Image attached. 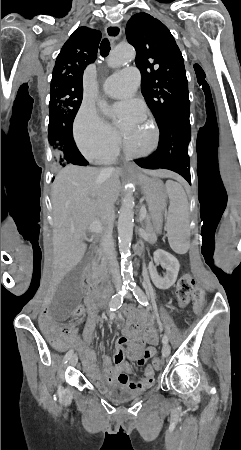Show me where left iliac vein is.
I'll use <instances>...</instances> for the list:
<instances>
[{
  "mask_svg": "<svg viewBox=\"0 0 241 450\" xmlns=\"http://www.w3.org/2000/svg\"><path fill=\"white\" fill-rule=\"evenodd\" d=\"M127 298H131V294L127 295ZM162 355L164 358H167L170 355V347L168 344H165L162 348Z\"/></svg>",
  "mask_w": 241,
  "mask_h": 450,
  "instance_id": "left-iliac-vein-1",
  "label": "left iliac vein"
}]
</instances>
